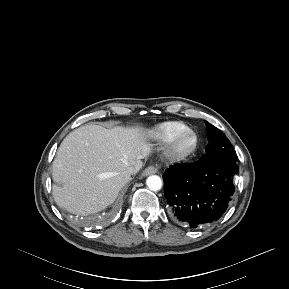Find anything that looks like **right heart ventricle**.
<instances>
[{
  "label": "right heart ventricle",
  "instance_id": "e07e8e85",
  "mask_svg": "<svg viewBox=\"0 0 289 289\" xmlns=\"http://www.w3.org/2000/svg\"><path fill=\"white\" fill-rule=\"evenodd\" d=\"M189 127L180 121H168L157 125L151 135L156 140L167 143L170 142L179 133L188 130Z\"/></svg>",
  "mask_w": 289,
  "mask_h": 289
}]
</instances>
